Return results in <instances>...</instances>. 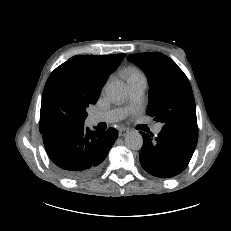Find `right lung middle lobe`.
<instances>
[{"mask_svg":"<svg viewBox=\"0 0 231 231\" xmlns=\"http://www.w3.org/2000/svg\"><path fill=\"white\" fill-rule=\"evenodd\" d=\"M99 93L83 90L65 70H54L44 87L40 110V133L74 128L84 123L87 107Z\"/></svg>","mask_w":231,"mask_h":231,"instance_id":"right-lung-middle-lobe-1","label":"right lung middle lobe"}]
</instances>
